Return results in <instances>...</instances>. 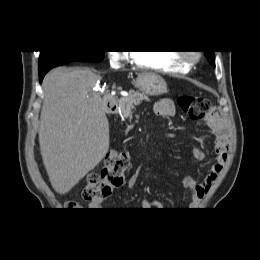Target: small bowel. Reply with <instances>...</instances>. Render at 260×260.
Here are the masks:
<instances>
[{
	"label": "small bowel",
	"instance_id": "small-bowel-1",
	"mask_svg": "<svg viewBox=\"0 0 260 260\" xmlns=\"http://www.w3.org/2000/svg\"><path fill=\"white\" fill-rule=\"evenodd\" d=\"M153 111L160 117H171L175 114L174 102L169 98H161L153 105ZM210 132L215 136L214 154L215 160L209 167L207 174L201 181H197L190 176L182 179V185L191 194L190 207H197L209 191L212 184L216 181L223 165L227 159L228 136L225 123L217 115L204 118ZM194 161H202L205 158L204 152L200 148H194L192 151ZM141 168H137L127 181V187L133 188L139 178ZM103 207V200H92L89 203L90 210H100ZM141 207L145 210L158 209L161 207L158 201L142 200Z\"/></svg>",
	"mask_w": 260,
	"mask_h": 260
}]
</instances>
